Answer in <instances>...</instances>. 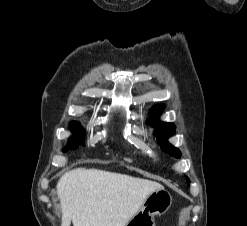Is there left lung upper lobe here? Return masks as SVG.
<instances>
[{"mask_svg":"<svg viewBox=\"0 0 247 226\" xmlns=\"http://www.w3.org/2000/svg\"><path fill=\"white\" fill-rule=\"evenodd\" d=\"M161 109L160 106L156 107L154 109V112L157 113ZM153 121V120H151ZM155 126L154 134L158 138V144L160 145L161 149L164 152H167L170 156L175 158H180L181 153L180 151L168 143L165 139L172 136L175 132V126L172 123H161L158 120L155 119V122L153 123ZM187 182L189 183V179L187 178Z\"/></svg>","mask_w":247,"mask_h":226,"instance_id":"obj_1","label":"left lung upper lobe"}]
</instances>
